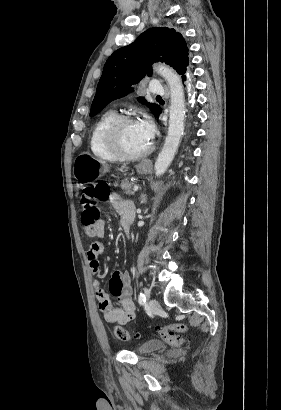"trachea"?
Returning a JSON list of instances; mask_svg holds the SVG:
<instances>
[{"instance_id":"trachea-1","label":"trachea","mask_w":281,"mask_h":410,"mask_svg":"<svg viewBox=\"0 0 281 410\" xmlns=\"http://www.w3.org/2000/svg\"><path fill=\"white\" fill-rule=\"evenodd\" d=\"M156 98H161V96L158 95Z\"/></svg>"}]
</instances>
